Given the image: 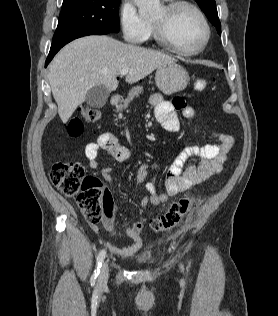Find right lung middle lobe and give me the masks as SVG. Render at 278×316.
Listing matches in <instances>:
<instances>
[{"label": "right lung middle lobe", "instance_id": "1", "mask_svg": "<svg viewBox=\"0 0 278 316\" xmlns=\"http://www.w3.org/2000/svg\"><path fill=\"white\" fill-rule=\"evenodd\" d=\"M120 0H64L51 46L89 33L119 31Z\"/></svg>", "mask_w": 278, "mask_h": 316}]
</instances>
